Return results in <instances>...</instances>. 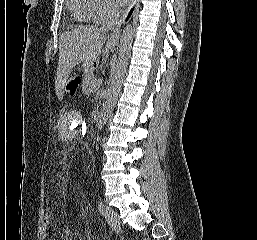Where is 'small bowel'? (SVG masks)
Listing matches in <instances>:
<instances>
[{"instance_id":"1","label":"small bowel","mask_w":257,"mask_h":240,"mask_svg":"<svg viewBox=\"0 0 257 240\" xmlns=\"http://www.w3.org/2000/svg\"><path fill=\"white\" fill-rule=\"evenodd\" d=\"M78 239V235L73 232L70 228L65 227L61 234V240H76ZM57 240V239H52Z\"/></svg>"}]
</instances>
